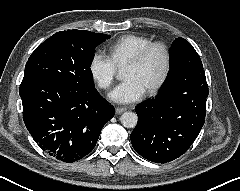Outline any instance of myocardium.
Listing matches in <instances>:
<instances>
[{"mask_svg":"<svg viewBox=\"0 0 240 191\" xmlns=\"http://www.w3.org/2000/svg\"><path fill=\"white\" fill-rule=\"evenodd\" d=\"M155 48L162 49L164 53V68L159 80L147 90L148 94H154L157 91H159L168 80V77L171 71V63H172L171 51L169 46L162 41H153L147 44L146 46H144L142 49H140L133 57H131L125 63V65H139L145 60L148 54Z\"/></svg>","mask_w":240,"mask_h":191,"instance_id":"myocardium-1","label":"myocardium"}]
</instances>
